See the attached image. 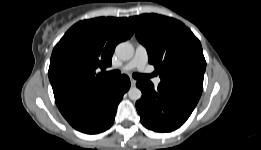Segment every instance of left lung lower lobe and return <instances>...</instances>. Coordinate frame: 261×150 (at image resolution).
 Here are the masks:
<instances>
[{
    "label": "left lung lower lobe",
    "instance_id": "obj_1",
    "mask_svg": "<svg viewBox=\"0 0 261 150\" xmlns=\"http://www.w3.org/2000/svg\"><path fill=\"white\" fill-rule=\"evenodd\" d=\"M136 86L142 91L136 102L140 120L156 132L179 128L191 115L203 90L186 81H161L157 88L150 81H138Z\"/></svg>",
    "mask_w": 261,
    "mask_h": 150
}]
</instances>
